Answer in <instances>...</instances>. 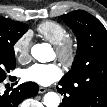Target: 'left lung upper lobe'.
Wrapping results in <instances>:
<instances>
[{"mask_svg": "<svg viewBox=\"0 0 107 107\" xmlns=\"http://www.w3.org/2000/svg\"><path fill=\"white\" fill-rule=\"evenodd\" d=\"M78 41L72 69L60 80L74 90L68 98L69 107H83L84 94L80 87L91 79L107 78V31L103 24L86 11L77 10L62 16Z\"/></svg>", "mask_w": 107, "mask_h": 107, "instance_id": "left-lung-upper-lobe-1", "label": "left lung upper lobe"}]
</instances>
